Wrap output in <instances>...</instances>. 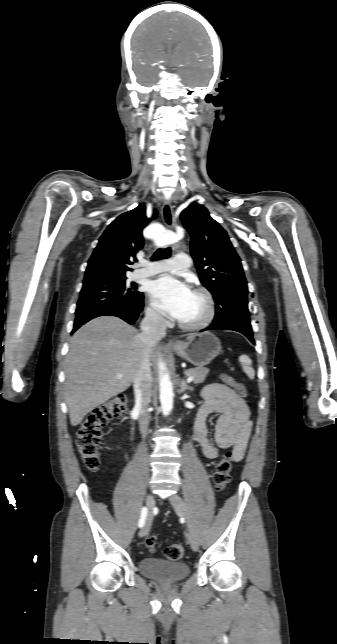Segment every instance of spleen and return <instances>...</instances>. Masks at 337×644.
Segmentation results:
<instances>
[{
	"label": "spleen",
	"mask_w": 337,
	"mask_h": 644,
	"mask_svg": "<svg viewBox=\"0 0 337 644\" xmlns=\"http://www.w3.org/2000/svg\"><path fill=\"white\" fill-rule=\"evenodd\" d=\"M239 362L242 366V370L245 372V374L250 378L254 379L255 377V371L252 368V361L247 355H241L239 357Z\"/></svg>",
	"instance_id": "obj_1"
}]
</instances>
